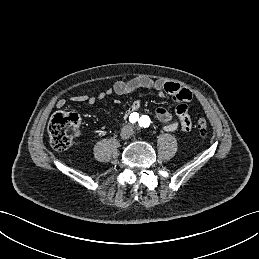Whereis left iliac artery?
Segmentation results:
<instances>
[{
    "label": "left iliac artery",
    "instance_id": "44dca946",
    "mask_svg": "<svg viewBox=\"0 0 259 259\" xmlns=\"http://www.w3.org/2000/svg\"><path fill=\"white\" fill-rule=\"evenodd\" d=\"M150 118L147 115H143L139 120L140 127L147 128L150 125Z\"/></svg>",
    "mask_w": 259,
    "mask_h": 259
}]
</instances>
